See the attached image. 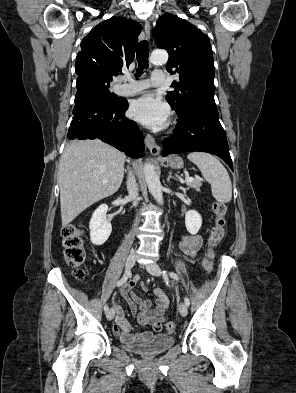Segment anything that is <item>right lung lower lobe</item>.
<instances>
[{
  "label": "right lung lower lobe",
  "mask_w": 296,
  "mask_h": 393,
  "mask_svg": "<svg viewBox=\"0 0 296 393\" xmlns=\"http://www.w3.org/2000/svg\"><path fill=\"white\" fill-rule=\"evenodd\" d=\"M74 102L69 139L99 138L132 158L144 155L142 133L134 121L125 117V99L110 103L91 82L78 77Z\"/></svg>",
  "instance_id": "right-lung-lower-lobe-1"
}]
</instances>
